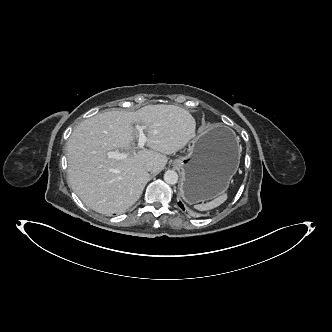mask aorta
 Returning <instances> with one entry per match:
<instances>
[{"label":"aorta","mask_w":332,"mask_h":332,"mask_svg":"<svg viewBox=\"0 0 332 332\" xmlns=\"http://www.w3.org/2000/svg\"><path fill=\"white\" fill-rule=\"evenodd\" d=\"M164 181L169 185H175L178 182V174L173 170H168L164 174Z\"/></svg>","instance_id":"obj_1"}]
</instances>
